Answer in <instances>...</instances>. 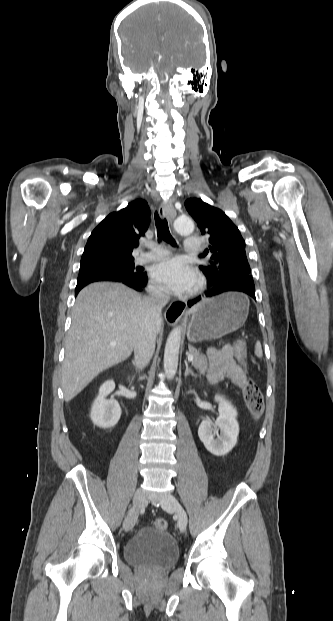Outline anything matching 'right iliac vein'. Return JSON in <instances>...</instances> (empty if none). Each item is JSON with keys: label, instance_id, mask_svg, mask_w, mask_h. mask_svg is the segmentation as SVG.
<instances>
[{"label": "right iliac vein", "instance_id": "1", "mask_svg": "<svg viewBox=\"0 0 333 621\" xmlns=\"http://www.w3.org/2000/svg\"><path fill=\"white\" fill-rule=\"evenodd\" d=\"M145 501V493L143 491V489L138 488L134 494L133 497V512L129 513V515L126 517L123 527L125 529L126 532L130 531L137 520V511L138 509L143 505Z\"/></svg>", "mask_w": 333, "mask_h": 621}]
</instances>
